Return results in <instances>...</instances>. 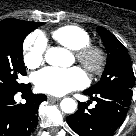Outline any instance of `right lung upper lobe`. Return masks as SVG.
<instances>
[{
	"mask_svg": "<svg viewBox=\"0 0 136 136\" xmlns=\"http://www.w3.org/2000/svg\"><path fill=\"white\" fill-rule=\"evenodd\" d=\"M19 22H26V21L9 18V19L0 21V27H8ZM29 23H34V22H29Z\"/></svg>",
	"mask_w": 136,
	"mask_h": 136,
	"instance_id": "cb5924a9",
	"label": "right lung upper lobe"
}]
</instances>
